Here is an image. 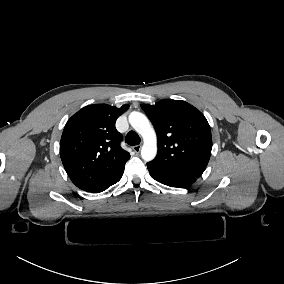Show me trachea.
<instances>
[{"mask_svg":"<svg viewBox=\"0 0 284 284\" xmlns=\"http://www.w3.org/2000/svg\"><path fill=\"white\" fill-rule=\"evenodd\" d=\"M125 142L128 145H138L140 143V137L136 132L131 130L126 135Z\"/></svg>","mask_w":284,"mask_h":284,"instance_id":"3493384b","label":"trachea"}]
</instances>
